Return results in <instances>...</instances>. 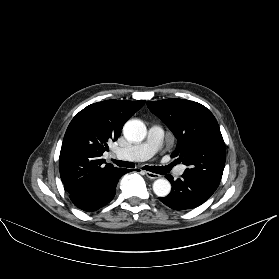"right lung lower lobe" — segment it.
<instances>
[{
    "label": "right lung lower lobe",
    "mask_w": 279,
    "mask_h": 279,
    "mask_svg": "<svg viewBox=\"0 0 279 279\" xmlns=\"http://www.w3.org/2000/svg\"><path fill=\"white\" fill-rule=\"evenodd\" d=\"M129 171V169L122 168L119 172L103 179L92 187L70 194L71 201L84 211L98 210L114 198L119 179Z\"/></svg>",
    "instance_id": "1"
}]
</instances>
